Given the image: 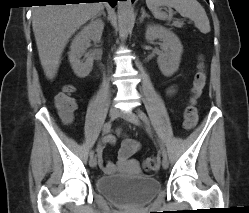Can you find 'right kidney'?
<instances>
[{"instance_id":"obj_1","label":"right kidney","mask_w":249,"mask_h":213,"mask_svg":"<svg viewBox=\"0 0 249 213\" xmlns=\"http://www.w3.org/2000/svg\"><path fill=\"white\" fill-rule=\"evenodd\" d=\"M104 23L100 19H92L89 24L84 26L71 42L69 61L74 73L85 78L93 68V58L85 54L89 40L100 41ZM82 56H84L83 59Z\"/></svg>"}]
</instances>
